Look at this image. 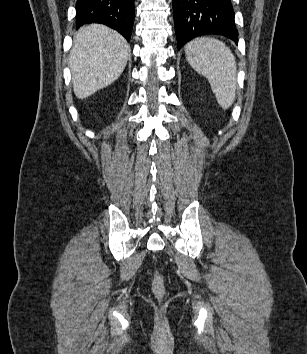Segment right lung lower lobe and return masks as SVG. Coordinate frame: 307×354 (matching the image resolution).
I'll return each mask as SVG.
<instances>
[{
  "instance_id": "1",
  "label": "right lung lower lobe",
  "mask_w": 307,
  "mask_h": 354,
  "mask_svg": "<svg viewBox=\"0 0 307 354\" xmlns=\"http://www.w3.org/2000/svg\"><path fill=\"white\" fill-rule=\"evenodd\" d=\"M77 28L102 23L130 40L134 20V0H77Z\"/></svg>"
}]
</instances>
